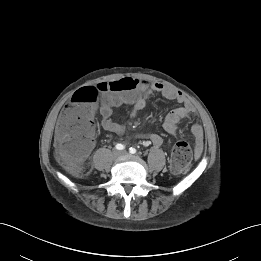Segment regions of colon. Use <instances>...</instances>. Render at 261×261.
Returning a JSON list of instances; mask_svg holds the SVG:
<instances>
[{
	"instance_id": "1",
	"label": "colon",
	"mask_w": 261,
	"mask_h": 261,
	"mask_svg": "<svg viewBox=\"0 0 261 261\" xmlns=\"http://www.w3.org/2000/svg\"><path fill=\"white\" fill-rule=\"evenodd\" d=\"M147 84V82L125 77L117 81L102 82L96 86L78 89L71 97L74 109L64 116L61 123V130L66 135L59 149L61 163L73 173H78L81 169L91 144L88 135V121L101 94L109 93L111 97L120 94L131 95L140 85ZM192 159L191 145L186 140H180L171 153V169L174 172H183L190 166Z\"/></svg>"
}]
</instances>
